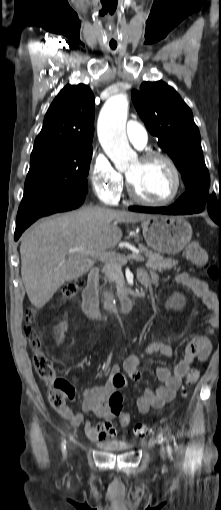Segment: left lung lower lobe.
Returning a JSON list of instances; mask_svg holds the SVG:
<instances>
[{
  "label": "left lung lower lobe",
  "mask_w": 221,
  "mask_h": 510,
  "mask_svg": "<svg viewBox=\"0 0 221 510\" xmlns=\"http://www.w3.org/2000/svg\"><path fill=\"white\" fill-rule=\"evenodd\" d=\"M132 211L146 212V213H160V214H171V215H185L199 213L202 210L198 208H189L187 206H176L171 205L169 207H129ZM213 221L221 227V211L213 210L208 211Z\"/></svg>",
  "instance_id": "obj_1"
}]
</instances>
